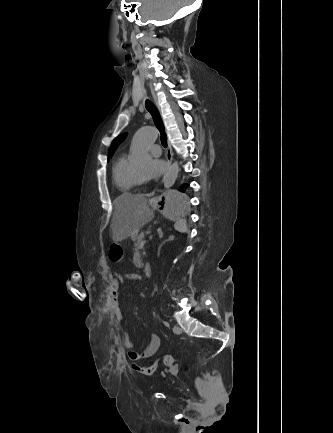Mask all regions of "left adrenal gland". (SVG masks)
<instances>
[{
	"instance_id": "left-adrenal-gland-1",
	"label": "left adrenal gland",
	"mask_w": 333,
	"mask_h": 433,
	"mask_svg": "<svg viewBox=\"0 0 333 433\" xmlns=\"http://www.w3.org/2000/svg\"><path fill=\"white\" fill-rule=\"evenodd\" d=\"M172 240H174V236L170 235L169 238H168L167 240L163 241V242L160 244V246H159L158 249L160 250V248L163 246V244H165V243L168 242V241H172Z\"/></svg>"
}]
</instances>
